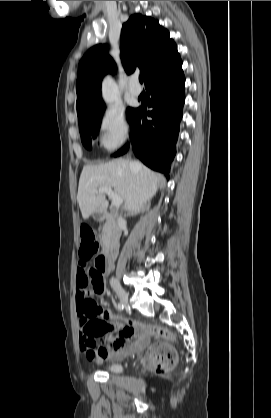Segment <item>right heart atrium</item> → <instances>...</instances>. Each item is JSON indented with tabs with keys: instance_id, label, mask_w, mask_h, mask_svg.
I'll return each instance as SVG.
<instances>
[{
	"instance_id": "1",
	"label": "right heart atrium",
	"mask_w": 271,
	"mask_h": 418,
	"mask_svg": "<svg viewBox=\"0 0 271 418\" xmlns=\"http://www.w3.org/2000/svg\"><path fill=\"white\" fill-rule=\"evenodd\" d=\"M99 141L103 148L115 151L130 136V123L124 109L111 106L104 109L98 120Z\"/></svg>"
}]
</instances>
